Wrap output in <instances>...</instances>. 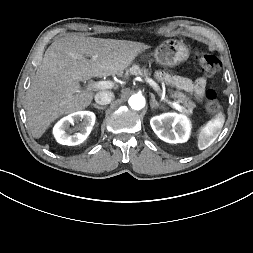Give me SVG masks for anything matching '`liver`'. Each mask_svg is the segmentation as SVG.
<instances>
[{
  "label": "liver",
  "mask_w": 253,
  "mask_h": 253,
  "mask_svg": "<svg viewBox=\"0 0 253 253\" xmlns=\"http://www.w3.org/2000/svg\"><path fill=\"white\" fill-rule=\"evenodd\" d=\"M149 46L139 42L66 36L46 50L26 96L28 126L40 138L58 117L85 109L94 93L79 81L123 74ZM90 57V59H87Z\"/></svg>",
  "instance_id": "1"
}]
</instances>
